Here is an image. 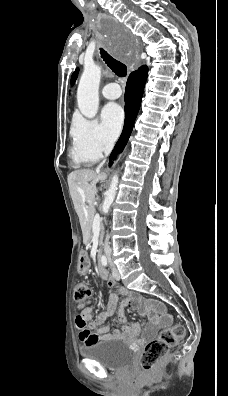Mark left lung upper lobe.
<instances>
[{"label":"left lung upper lobe","mask_w":228,"mask_h":396,"mask_svg":"<svg viewBox=\"0 0 228 396\" xmlns=\"http://www.w3.org/2000/svg\"><path fill=\"white\" fill-rule=\"evenodd\" d=\"M78 72H79V69L77 68V69L74 71L73 75H72V78H71V84H72V85L74 84V82H75V80H76V78H77V76H78Z\"/></svg>","instance_id":"left-lung-upper-lobe-1"}]
</instances>
